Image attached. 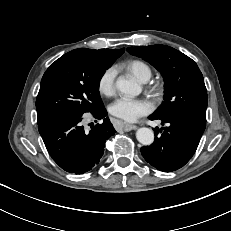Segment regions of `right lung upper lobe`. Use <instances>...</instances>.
I'll return each mask as SVG.
<instances>
[{
  "label": "right lung upper lobe",
  "mask_w": 231,
  "mask_h": 231,
  "mask_svg": "<svg viewBox=\"0 0 231 231\" xmlns=\"http://www.w3.org/2000/svg\"><path fill=\"white\" fill-rule=\"evenodd\" d=\"M93 51L100 57L112 62H114L119 56L124 53L123 48L119 50L99 49Z\"/></svg>",
  "instance_id": "obj_1"
}]
</instances>
